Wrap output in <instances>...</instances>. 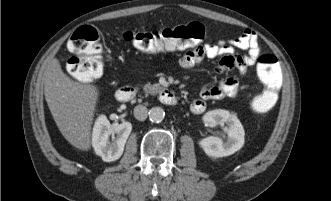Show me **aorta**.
<instances>
[{"label": "aorta", "instance_id": "obj_1", "mask_svg": "<svg viewBox=\"0 0 331 201\" xmlns=\"http://www.w3.org/2000/svg\"><path fill=\"white\" fill-rule=\"evenodd\" d=\"M165 112L161 107H153L149 111V119L151 122L159 123L163 121Z\"/></svg>", "mask_w": 331, "mask_h": 201}]
</instances>
